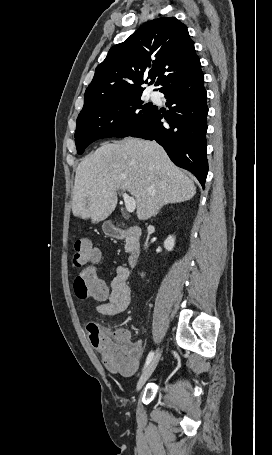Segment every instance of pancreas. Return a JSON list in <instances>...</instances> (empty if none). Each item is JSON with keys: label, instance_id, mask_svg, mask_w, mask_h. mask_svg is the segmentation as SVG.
Wrapping results in <instances>:
<instances>
[{"label": "pancreas", "instance_id": "1", "mask_svg": "<svg viewBox=\"0 0 272 455\" xmlns=\"http://www.w3.org/2000/svg\"><path fill=\"white\" fill-rule=\"evenodd\" d=\"M125 250H126V252H130V250L127 247L125 248Z\"/></svg>", "mask_w": 272, "mask_h": 455}]
</instances>
